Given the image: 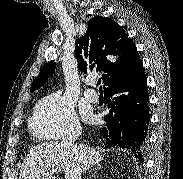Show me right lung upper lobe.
Segmentation results:
<instances>
[{
    "label": "right lung upper lobe",
    "instance_id": "1",
    "mask_svg": "<svg viewBox=\"0 0 183 179\" xmlns=\"http://www.w3.org/2000/svg\"><path fill=\"white\" fill-rule=\"evenodd\" d=\"M75 54L82 72L104 73L102 79L106 87L133 73L142 63L134 42L124 29L102 16H94L88 21L86 34L76 42ZM55 67V62L44 65L31 89L42 86L53 75Z\"/></svg>",
    "mask_w": 183,
    "mask_h": 179
}]
</instances>
